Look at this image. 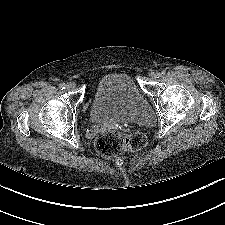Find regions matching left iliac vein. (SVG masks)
<instances>
[{
	"label": "left iliac vein",
	"mask_w": 225,
	"mask_h": 225,
	"mask_svg": "<svg viewBox=\"0 0 225 225\" xmlns=\"http://www.w3.org/2000/svg\"><path fill=\"white\" fill-rule=\"evenodd\" d=\"M149 76H150L151 80H156L159 76V73L158 72H152V73H150Z\"/></svg>",
	"instance_id": "1"
}]
</instances>
